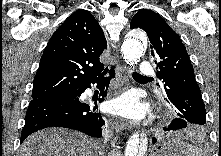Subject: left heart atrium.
<instances>
[{
    "label": "left heart atrium",
    "mask_w": 221,
    "mask_h": 156,
    "mask_svg": "<svg viewBox=\"0 0 221 156\" xmlns=\"http://www.w3.org/2000/svg\"><path fill=\"white\" fill-rule=\"evenodd\" d=\"M108 111L121 118L140 120L146 114V107L141 104L133 92L124 93L107 104Z\"/></svg>",
    "instance_id": "1"
}]
</instances>
